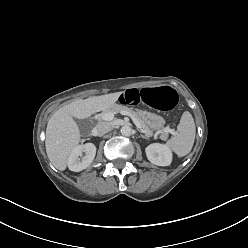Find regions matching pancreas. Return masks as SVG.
<instances>
[{
    "label": "pancreas",
    "mask_w": 248,
    "mask_h": 248,
    "mask_svg": "<svg viewBox=\"0 0 248 248\" xmlns=\"http://www.w3.org/2000/svg\"><path fill=\"white\" fill-rule=\"evenodd\" d=\"M122 111H125V112L129 113L131 116H133L140 123L142 129L145 132H147V133L151 132L150 127L141 119V117L138 115V113L133 111L131 108L126 107V106L113 104L111 107H109L108 109L103 111L102 114L108 113V112H111L113 114H117V113H121Z\"/></svg>",
    "instance_id": "pancreas-1"
}]
</instances>
